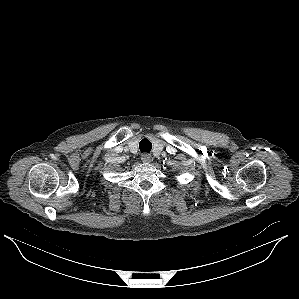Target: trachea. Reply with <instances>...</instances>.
<instances>
[{
  "instance_id": "3493384b",
  "label": "trachea",
  "mask_w": 299,
  "mask_h": 299,
  "mask_svg": "<svg viewBox=\"0 0 299 299\" xmlns=\"http://www.w3.org/2000/svg\"><path fill=\"white\" fill-rule=\"evenodd\" d=\"M141 152H150L152 149V143L148 139H142L139 143Z\"/></svg>"
}]
</instances>
